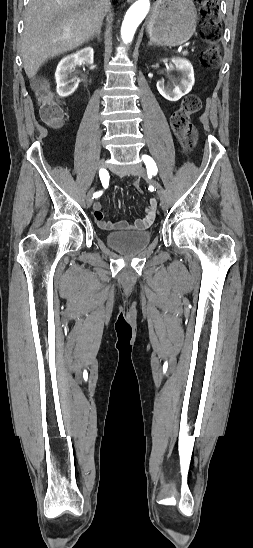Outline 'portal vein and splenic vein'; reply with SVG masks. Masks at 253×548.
Instances as JSON below:
<instances>
[{
  "label": "portal vein and splenic vein",
  "mask_w": 253,
  "mask_h": 548,
  "mask_svg": "<svg viewBox=\"0 0 253 548\" xmlns=\"http://www.w3.org/2000/svg\"><path fill=\"white\" fill-rule=\"evenodd\" d=\"M187 52H188L187 50H184V51H183V54H186Z\"/></svg>",
  "instance_id": "1"
}]
</instances>
